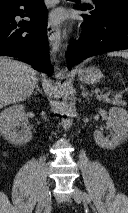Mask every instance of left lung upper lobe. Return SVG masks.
Segmentation results:
<instances>
[{
  "mask_svg": "<svg viewBox=\"0 0 128 213\" xmlns=\"http://www.w3.org/2000/svg\"><path fill=\"white\" fill-rule=\"evenodd\" d=\"M94 7L90 5H85L89 9H97L98 11H104L113 6H128V0H92Z\"/></svg>",
  "mask_w": 128,
  "mask_h": 213,
  "instance_id": "5c2ea615",
  "label": "left lung upper lobe"
}]
</instances>
